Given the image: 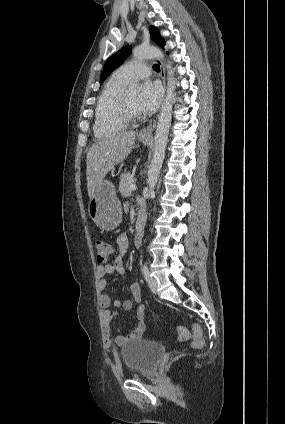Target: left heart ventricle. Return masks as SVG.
Here are the masks:
<instances>
[{
	"label": "left heart ventricle",
	"instance_id": "obj_1",
	"mask_svg": "<svg viewBox=\"0 0 285 424\" xmlns=\"http://www.w3.org/2000/svg\"><path fill=\"white\" fill-rule=\"evenodd\" d=\"M125 100L134 113H139L136 107L138 96L136 94L125 95Z\"/></svg>",
	"mask_w": 285,
	"mask_h": 424
}]
</instances>
